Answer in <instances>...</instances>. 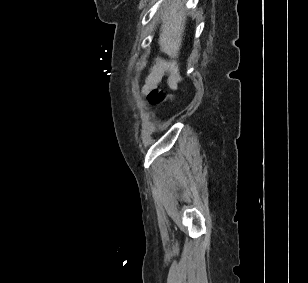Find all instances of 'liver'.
Here are the masks:
<instances>
[{"mask_svg": "<svg viewBox=\"0 0 308 283\" xmlns=\"http://www.w3.org/2000/svg\"><path fill=\"white\" fill-rule=\"evenodd\" d=\"M184 0H169L162 10L160 28V50L173 58H177L182 45L186 16L182 11Z\"/></svg>", "mask_w": 308, "mask_h": 283, "instance_id": "1", "label": "liver"}]
</instances>
